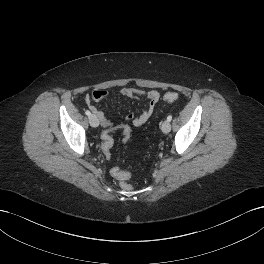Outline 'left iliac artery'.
Masks as SVG:
<instances>
[{
	"label": "left iliac artery",
	"instance_id": "1",
	"mask_svg": "<svg viewBox=\"0 0 264 264\" xmlns=\"http://www.w3.org/2000/svg\"><path fill=\"white\" fill-rule=\"evenodd\" d=\"M167 120L170 122V121L172 120V116L169 115V116L167 117Z\"/></svg>",
	"mask_w": 264,
	"mask_h": 264
}]
</instances>
